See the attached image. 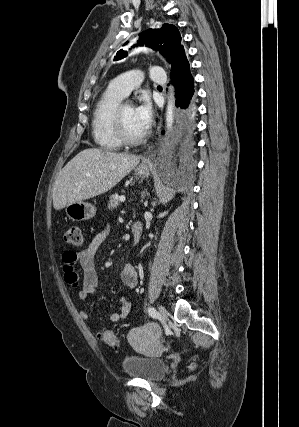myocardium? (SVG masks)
Listing matches in <instances>:
<instances>
[{
	"label": "myocardium",
	"instance_id": "f54148a6",
	"mask_svg": "<svg viewBox=\"0 0 299 427\" xmlns=\"http://www.w3.org/2000/svg\"><path fill=\"white\" fill-rule=\"evenodd\" d=\"M126 105H130L127 102H120L115 108L112 116L114 133L121 144L124 145H136L141 143L147 136V132H143L141 135L136 137L129 136L124 128L123 123V108Z\"/></svg>",
	"mask_w": 299,
	"mask_h": 427
}]
</instances>
